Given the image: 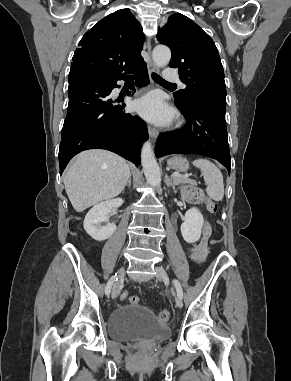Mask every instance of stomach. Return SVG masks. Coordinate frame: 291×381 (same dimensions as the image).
Returning a JSON list of instances; mask_svg holds the SVG:
<instances>
[{
  "instance_id": "stomach-1",
  "label": "stomach",
  "mask_w": 291,
  "mask_h": 381,
  "mask_svg": "<svg viewBox=\"0 0 291 381\" xmlns=\"http://www.w3.org/2000/svg\"><path fill=\"white\" fill-rule=\"evenodd\" d=\"M168 166L176 171H186L189 168V163L186 158L176 156L168 160Z\"/></svg>"
}]
</instances>
